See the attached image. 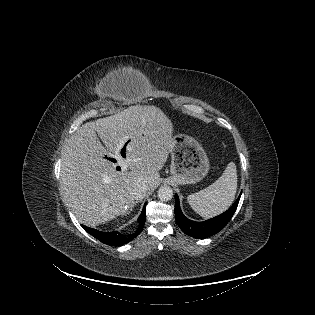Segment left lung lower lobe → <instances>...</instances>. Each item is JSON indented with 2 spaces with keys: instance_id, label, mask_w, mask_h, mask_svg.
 Masks as SVG:
<instances>
[{
  "instance_id": "0a47b994",
  "label": "left lung lower lobe",
  "mask_w": 315,
  "mask_h": 315,
  "mask_svg": "<svg viewBox=\"0 0 315 315\" xmlns=\"http://www.w3.org/2000/svg\"><path fill=\"white\" fill-rule=\"evenodd\" d=\"M241 193L230 209L214 218H211L203 222H195L186 218L180 209L179 198L177 195H175L176 222L178 226L181 228V230L191 237L197 239H204L211 235H214L218 233L220 230H222L231 220L238 206Z\"/></svg>"
}]
</instances>
